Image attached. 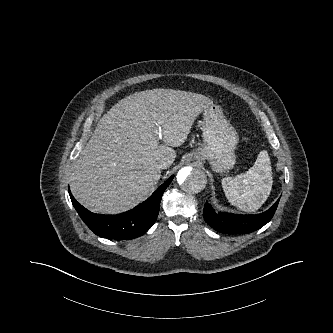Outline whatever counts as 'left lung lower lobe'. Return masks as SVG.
Segmentation results:
<instances>
[{
  "label": "left lung lower lobe",
  "mask_w": 333,
  "mask_h": 333,
  "mask_svg": "<svg viewBox=\"0 0 333 333\" xmlns=\"http://www.w3.org/2000/svg\"><path fill=\"white\" fill-rule=\"evenodd\" d=\"M279 200L267 211L256 215H238L224 212L216 213L212 206L205 203L203 210L204 220L215 230L221 233H251L265 224L273 217Z\"/></svg>",
  "instance_id": "1"
}]
</instances>
